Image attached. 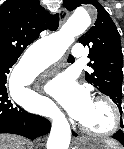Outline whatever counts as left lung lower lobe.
Listing matches in <instances>:
<instances>
[{
  "instance_id": "1",
  "label": "left lung lower lobe",
  "mask_w": 124,
  "mask_h": 149,
  "mask_svg": "<svg viewBox=\"0 0 124 149\" xmlns=\"http://www.w3.org/2000/svg\"><path fill=\"white\" fill-rule=\"evenodd\" d=\"M73 135L75 136V133H73ZM114 139L118 140L121 144H124V133L122 130H119L117 133H115L112 136Z\"/></svg>"
}]
</instances>
